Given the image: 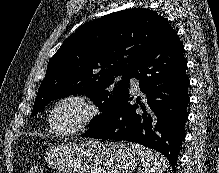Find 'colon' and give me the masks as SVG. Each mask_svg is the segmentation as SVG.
<instances>
[{"mask_svg":"<svg viewBox=\"0 0 219 173\" xmlns=\"http://www.w3.org/2000/svg\"><path fill=\"white\" fill-rule=\"evenodd\" d=\"M27 173H41V168L38 165H31Z\"/></svg>","mask_w":219,"mask_h":173,"instance_id":"obj_1","label":"colon"}]
</instances>
